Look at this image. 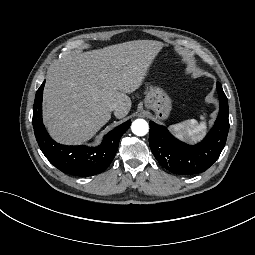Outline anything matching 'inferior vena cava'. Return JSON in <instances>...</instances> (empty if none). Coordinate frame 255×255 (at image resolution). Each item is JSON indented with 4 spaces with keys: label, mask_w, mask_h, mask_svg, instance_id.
<instances>
[{
    "label": "inferior vena cava",
    "mask_w": 255,
    "mask_h": 255,
    "mask_svg": "<svg viewBox=\"0 0 255 255\" xmlns=\"http://www.w3.org/2000/svg\"><path fill=\"white\" fill-rule=\"evenodd\" d=\"M120 108V105L118 104V103H112L111 105H110V109L112 110V111H115V110H117V109H119Z\"/></svg>",
    "instance_id": "602c4592"
}]
</instances>
